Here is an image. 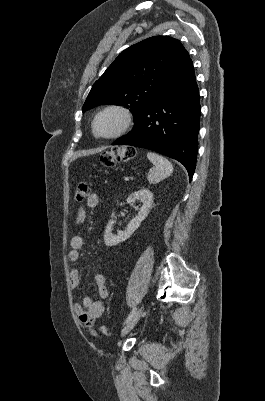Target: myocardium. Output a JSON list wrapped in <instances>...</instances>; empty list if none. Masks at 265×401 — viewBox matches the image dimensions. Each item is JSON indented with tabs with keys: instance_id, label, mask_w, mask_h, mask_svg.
<instances>
[{
	"instance_id": "myocardium-1",
	"label": "myocardium",
	"mask_w": 265,
	"mask_h": 401,
	"mask_svg": "<svg viewBox=\"0 0 265 401\" xmlns=\"http://www.w3.org/2000/svg\"><path fill=\"white\" fill-rule=\"evenodd\" d=\"M107 113H117L120 117V125L114 133L107 135V136H102L96 132V123H97V120L102 115L107 114ZM131 118H132L131 112L125 106L117 105V104L108 105V106L102 108L94 116V118L91 122V133L96 139L110 140V139L116 138L127 129V127L129 126V124L131 122Z\"/></svg>"
}]
</instances>
